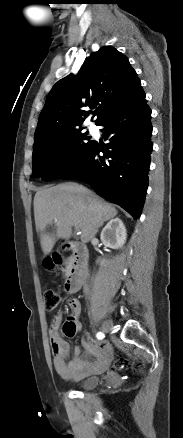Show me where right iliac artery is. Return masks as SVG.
<instances>
[{
    "label": "right iliac artery",
    "mask_w": 183,
    "mask_h": 438,
    "mask_svg": "<svg viewBox=\"0 0 183 438\" xmlns=\"http://www.w3.org/2000/svg\"><path fill=\"white\" fill-rule=\"evenodd\" d=\"M96 337H97L98 339H103V338L105 337V335H104V333H102V332H98L97 335H96Z\"/></svg>",
    "instance_id": "obj_1"
}]
</instances>
